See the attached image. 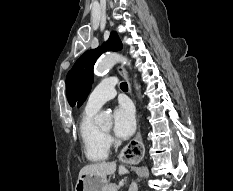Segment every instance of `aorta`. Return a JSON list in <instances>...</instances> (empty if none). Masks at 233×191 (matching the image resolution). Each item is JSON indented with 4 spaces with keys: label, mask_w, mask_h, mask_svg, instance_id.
Listing matches in <instances>:
<instances>
[{
    "label": "aorta",
    "mask_w": 233,
    "mask_h": 191,
    "mask_svg": "<svg viewBox=\"0 0 233 191\" xmlns=\"http://www.w3.org/2000/svg\"><path fill=\"white\" fill-rule=\"evenodd\" d=\"M118 62L124 65H130V62L123 55L114 52L108 53L97 62L95 66V73H105ZM136 89H139L137 85ZM96 122L99 125H111V116L105 111L101 112L96 116Z\"/></svg>",
    "instance_id": "obj_1"
}]
</instances>
